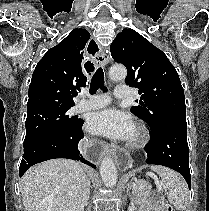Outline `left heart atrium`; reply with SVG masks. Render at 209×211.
<instances>
[{
  "label": "left heart atrium",
  "mask_w": 209,
  "mask_h": 211,
  "mask_svg": "<svg viewBox=\"0 0 209 211\" xmlns=\"http://www.w3.org/2000/svg\"><path fill=\"white\" fill-rule=\"evenodd\" d=\"M88 130L114 140H130L135 133L132 117L115 108L94 112L87 121Z\"/></svg>",
  "instance_id": "1"
}]
</instances>
